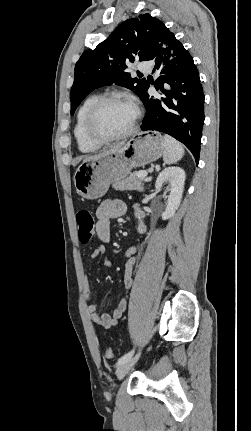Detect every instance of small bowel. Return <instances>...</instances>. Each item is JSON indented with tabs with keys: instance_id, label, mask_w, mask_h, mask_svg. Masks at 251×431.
Instances as JSON below:
<instances>
[{
	"instance_id": "small-bowel-1",
	"label": "small bowel",
	"mask_w": 251,
	"mask_h": 431,
	"mask_svg": "<svg viewBox=\"0 0 251 431\" xmlns=\"http://www.w3.org/2000/svg\"><path fill=\"white\" fill-rule=\"evenodd\" d=\"M127 206L121 200H105L103 201L96 210V234L98 238L103 242V244L98 245L93 252L91 253V259L95 260L99 257H103V265L106 268H110L112 266L111 261L107 258V247L105 244L111 241V230H110V220L117 219L126 214ZM137 217L140 219V223L138 225V231L140 233H144L146 227L144 223L141 221L143 218V212L141 210L136 211ZM138 251V247L132 246L127 252V261L125 265V276H124V285L126 288H130L132 285V269L133 265L136 262V253ZM84 293L87 302V310L90 314L91 320L94 324L104 328L109 329L115 326L118 320L121 318L122 314L126 309V299H121L118 303L117 307L109 313H100L98 311V305L91 297V290L89 285L88 276H85L84 281Z\"/></svg>"
}]
</instances>
